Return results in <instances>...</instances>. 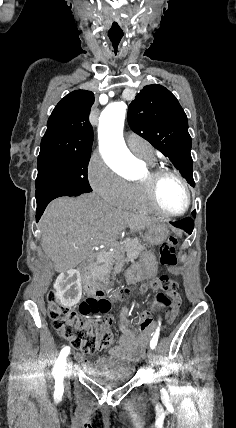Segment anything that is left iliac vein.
Masks as SVG:
<instances>
[{"mask_svg": "<svg viewBox=\"0 0 236 428\" xmlns=\"http://www.w3.org/2000/svg\"><path fill=\"white\" fill-rule=\"evenodd\" d=\"M157 357V352L156 351H151L150 355H148L145 359L144 362L147 364L148 368H153L154 366V362L156 360Z\"/></svg>", "mask_w": 236, "mask_h": 428, "instance_id": "left-iliac-vein-1", "label": "left iliac vein"}]
</instances>
